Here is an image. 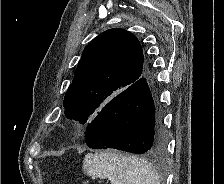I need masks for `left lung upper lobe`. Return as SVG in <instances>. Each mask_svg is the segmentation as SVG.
I'll use <instances>...</instances> for the list:
<instances>
[{"label":"left lung upper lobe","instance_id":"left-lung-upper-lobe-1","mask_svg":"<svg viewBox=\"0 0 224 184\" xmlns=\"http://www.w3.org/2000/svg\"><path fill=\"white\" fill-rule=\"evenodd\" d=\"M137 37L120 28L95 37L83 50L63 106L65 116L81 124L147 71Z\"/></svg>","mask_w":224,"mask_h":184}]
</instances>
